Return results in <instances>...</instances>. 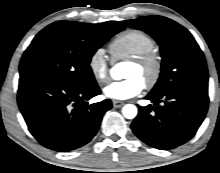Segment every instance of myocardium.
I'll return each mask as SVG.
<instances>
[{"mask_svg": "<svg viewBox=\"0 0 220 173\" xmlns=\"http://www.w3.org/2000/svg\"><path fill=\"white\" fill-rule=\"evenodd\" d=\"M130 63L139 67L144 73V85L153 88L159 81L162 72V61L158 53L151 51L130 59Z\"/></svg>", "mask_w": 220, "mask_h": 173, "instance_id": "f54148a6", "label": "myocardium"}]
</instances>
